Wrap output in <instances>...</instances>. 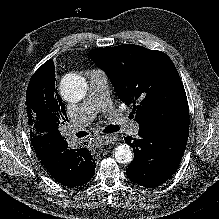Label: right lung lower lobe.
<instances>
[{
	"instance_id": "1",
	"label": "right lung lower lobe",
	"mask_w": 219,
	"mask_h": 219,
	"mask_svg": "<svg viewBox=\"0 0 219 219\" xmlns=\"http://www.w3.org/2000/svg\"><path fill=\"white\" fill-rule=\"evenodd\" d=\"M31 144L49 174L59 183L75 187L91 180L95 162L85 148L69 149L65 137L53 133H36Z\"/></svg>"
}]
</instances>
